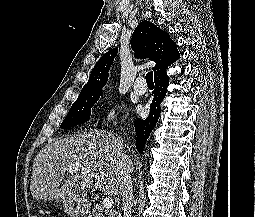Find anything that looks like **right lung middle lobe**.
<instances>
[{
    "mask_svg": "<svg viewBox=\"0 0 255 217\" xmlns=\"http://www.w3.org/2000/svg\"><path fill=\"white\" fill-rule=\"evenodd\" d=\"M100 95L101 92L80 94L77 100L72 104L60 128L66 129L87 122L90 119L91 108L98 101Z\"/></svg>",
    "mask_w": 255,
    "mask_h": 217,
    "instance_id": "right-lung-middle-lobe-1",
    "label": "right lung middle lobe"
}]
</instances>
